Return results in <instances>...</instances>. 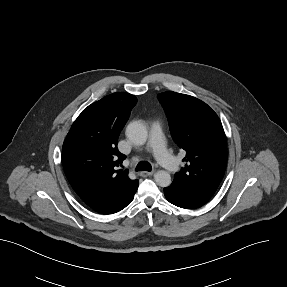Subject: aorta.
<instances>
[{"mask_svg": "<svg viewBox=\"0 0 287 287\" xmlns=\"http://www.w3.org/2000/svg\"><path fill=\"white\" fill-rule=\"evenodd\" d=\"M126 136L135 145H144L148 138V131L142 122L134 121L127 126ZM154 179L161 187H168L171 184V176L165 170L157 171Z\"/></svg>", "mask_w": 287, "mask_h": 287, "instance_id": "762f6f07", "label": "aorta"}]
</instances>
